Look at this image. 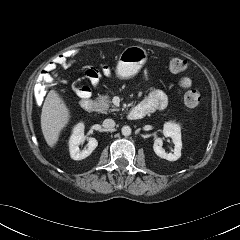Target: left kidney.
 <instances>
[{
    "mask_svg": "<svg viewBox=\"0 0 240 240\" xmlns=\"http://www.w3.org/2000/svg\"><path fill=\"white\" fill-rule=\"evenodd\" d=\"M163 134L165 137H171L174 143V152L166 153L162 148L163 140L156 138L153 144L154 152L160 158L176 161L181 157L182 141H181V128L178 124L173 122H166L163 127Z\"/></svg>",
    "mask_w": 240,
    "mask_h": 240,
    "instance_id": "5707ae66",
    "label": "left kidney"
}]
</instances>
